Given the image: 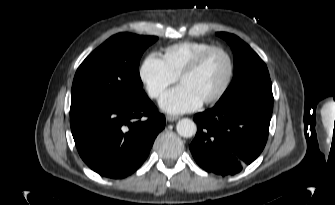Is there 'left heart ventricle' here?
Masks as SVG:
<instances>
[{
    "label": "left heart ventricle",
    "mask_w": 335,
    "mask_h": 205,
    "mask_svg": "<svg viewBox=\"0 0 335 205\" xmlns=\"http://www.w3.org/2000/svg\"><path fill=\"white\" fill-rule=\"evenodd\" d=\"M228 73V61L221 52L211 53L195 73L186 76L181 84L189 87L202 101L213 96L222 86Z\"/></svg>",
    "instance_id": "b2bd125f"
}]
</instances>
